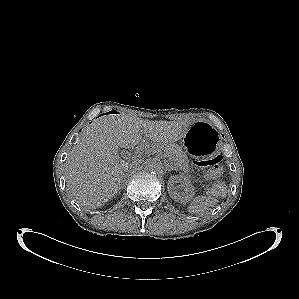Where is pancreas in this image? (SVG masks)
Listing matches in <instances>:
<instances>
[{
    "label": "pancreas",
    "instance_id": "obj_1",
    "mask_svg": "<svg viewBox=\"0 0 299 299\" xmlns=\"http://www.w3.org/2000/svg\"><path fill=\"white\" fill-rule=\"evenodd\" d=\"M167 153L170 154L171 160L174 161V165L176 169H181L185 172L189 171V159L185 152L182 151L181 147L177 144H167V145H160Z\"/></svg>",
    "mask_w": 299,
    "mask_h": 299
}]
</instances>
